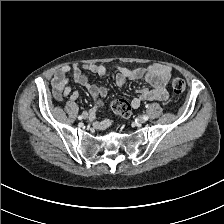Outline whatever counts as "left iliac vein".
Instances as JSON below:
<instances>
[{"instance_id": "1", "label": "left iliac vein", "mask_w": 224, "mask_h": 224, "mask_svg": "<svg viewBox=\"0 0 224 224\" xmlns=\"http://www.w3.org/2000/svg\"><path fill=\"white\" fill-rule=\"evenodd\" d=\"M139 123L143 124L146 122V120L143 117H139L138 119Z\"/></svg>"}]
</instances>
